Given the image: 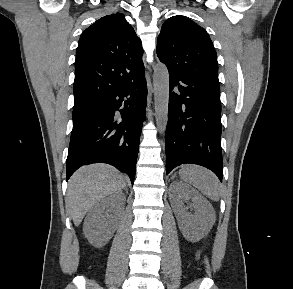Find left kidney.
I'll return each instance as SVG.
<instances>
[{"mask_svg": "<svg viewBox=\"0 0 293 289\" xmlns=\"http://www.w3.org/2000/svg\"><path fill=\"white\" fill-rule=\"evenodd\" d=\"M171 205L176 215L179 228L185 238L196 242L210 230L215 211L210 202L199 192L183 182H173L170 185ZM182 199L191 200L194 214H188L182 203Z\"/></svg>", "mask_w": 293, "mask_h": 289, "instance_id": "1", "label": "left kidney"}]
</instances>
